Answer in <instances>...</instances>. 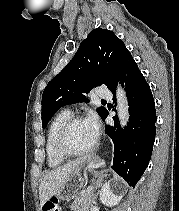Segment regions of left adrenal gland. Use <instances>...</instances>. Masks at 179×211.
<instances>
[{"instance_id": "obj_1", "label": "left adrenal gland", "mask_w": 179, "mask_h": 211, "mask_svg": "<svg viewBox=\"0 0 179 211\" xmlns=\"http://www.w3.org/2000/svg\"><path fill=\"white\" fill-rule=\"evenodd\" d=\"M101 184H102V181L99 180V181L97 182L96 186H95V189L99 188V187L101 186ZM98 194H99V192L95 194V199L97 198Z\"/></svg>"}]
</instances>
